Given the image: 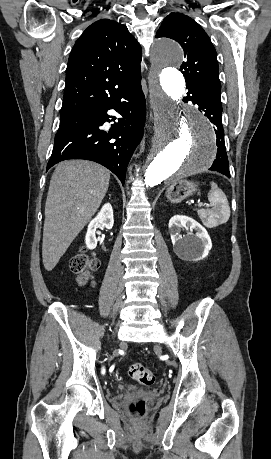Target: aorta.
Returning a JSON list of instances; mask_svg holds the SVG:
<instances>
[{
    "mask_svg": "<svg viewBox=\"0 0 271 459\" xmlns=\"http://www.w3.org/2000/svg\"><path fill=\"white\" fill-rule=\"evenodd\" d=\"M183 58L181 46L172 40L162 39L153 47L149 92L155 134L144 174L146 187L205 171L216 156L209 121L198 110L179 106L185 80L177 67Z\"/></svg>",
    "mask_w": 271,
    "mask_h": 459,
    "instance_id": "1",
    "label": "aorta"
}]
</instances>
